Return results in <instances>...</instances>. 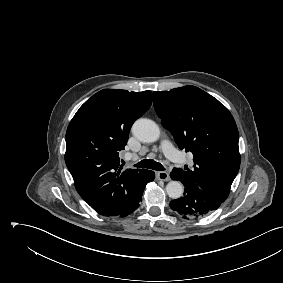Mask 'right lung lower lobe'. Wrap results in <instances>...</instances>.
I'll list each match as a JSON object with an SVG mask.
<instances>
[{"instance_id":"1","label":"right lung lower lobe","mask_w":283,"mask_h":283,"mask_svg":"<svg viewBox=\"0 0 283 283\" xmlns=\"http://www.w3.org/2000/svg\"><path fill=\"white\" fill-rule=\"evenodd\" d=\"M154 178H155V175H154L153 171L146 170L144 173H142V179H141L142 193H141V195L129 207H127L125 210H123L121 213H119L118 215H115V216L125 217V216L131 214L132 212H134L139 207V201H140V198L143 194V190H144L145 185L148 182L153 181Z\"/></svg>"}]
</instances>
